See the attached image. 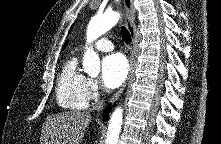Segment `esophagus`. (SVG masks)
<instances>
[{
	"label": "esophagus",
	"mask_w": 221,
	"mask_h": 144,
	"mask_svg": "<svg viewBox=\"0 0 221 144\" xmlns=\"http://www.w3.org/2000/svg\"><path fill=\"white\" fill-rule=\"evenodd\" d=\"M124 8L126 11V18H125V25L130 33L131 36V53L129 58V72L125 82L122 84L120 89L112 96L110 99V103H114L123 93L124 89L126 88L132 71L134 67V60L136 55V36H135V24H134V16H135V9L133 7V0H123Z\"/></svg>",
	"instance_id": "obj_1"
}]
</instances>
